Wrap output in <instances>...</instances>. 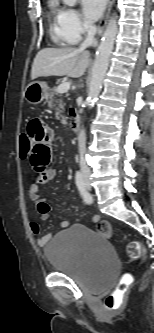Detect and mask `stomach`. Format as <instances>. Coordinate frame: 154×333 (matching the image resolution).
I'll return each mask as SVG.
<instances>
[{"instance_id":"1","label":"stomach","mask_w":154,"mask_h":333,"mask_svg":"<svg viewBox=\"0 0 154 333\" xmlns=\"http://www.w3.org/2000/svg\"><path fill=\"white\" fill-rule=\"evenodd\" d=\"M47 84L45 82H31L25 89L24 96L29 104L37 105L47 96Z\"/></svg>"}]
</instances>
